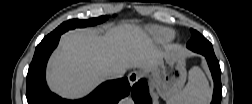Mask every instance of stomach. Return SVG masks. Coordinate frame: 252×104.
Here are the masks:
<instances>
[{
    "label": "stomach",
    "instance_id": "1",
    "mask_svg": "<svg viewBox=\"0 0 252 104\" xmlns=\"http://www.w3.org/2000/svg\"><path fill=\"white\" fill-rule=\"evenodd\" d=\"M186 58L181 50H165L151 71L156 89L167 102L173 103L186 81Z\"/></svg>",
    "mask_w": 252,
    "mask_h": 104
}]
</instances>
